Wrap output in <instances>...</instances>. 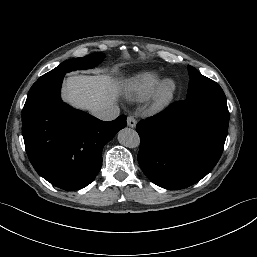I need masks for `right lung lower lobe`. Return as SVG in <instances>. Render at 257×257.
Here are the masks:
<instances>
[{
  "label": "right lung lower lobe",
  "mask_w": 257,
  "mask_h": 257,
  "mask_svg": "<svg viewBox=\"0 0 257 257\" xmlns=\"http://www.w3.org/2000/svg\"><path fill=\"white\" fill-rule=\"evenodd\" d=\"M65 74L39 78L22 111V135L31 164L52 185L77 190L90 184L102 165L103 146L126 126V116L105 122L62 102Z\"/></svg>",
  "instance_id": "obj_1"
}]
</instances>
